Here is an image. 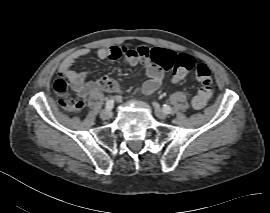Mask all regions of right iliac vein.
<instances>
[{"label":"right iliac vein","instance_id":"obj_1","mask_svg":"<svg viewBox=\"0 0 270 213\" xmlns=\"http://www.w3.org/2000/svg\"><path fill=\"white\" fill-rule=\"evenodd\" d=\"M100 117L103 120L110 119L112 117V111L110 109H104V110L101 111Z\"/></svg>","mask_w":270,"mask_h":213}]
</instances>
